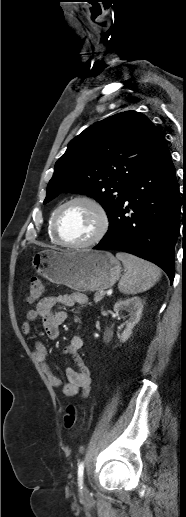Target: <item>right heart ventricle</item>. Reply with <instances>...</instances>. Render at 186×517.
Here are the masks:
<instances>
[{"instance_id": "e07e8e85", "label": "right heart ventricle", "mask_w": 186, "mask_h": 517, "mask_svg": "<svg viewBox=\"0 0 186 517\" xmlns=\"http://www.w3.org/2000/svg\"><path fill=\"white\" fill-rule=\"evenodd\" d=\"M56 210H54L51 215H50V218H49V221H48V227H47V231H48V235H49V238L50 240L57 244L58 242L55 240L54 236H53V233H52V218H53V215L55 213Z\"/></svg>"}]
</instances>
